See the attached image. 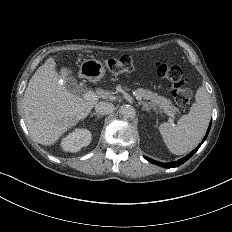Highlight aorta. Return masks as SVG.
Masks as SVG:
<instances>
[{
    "label": "aorta",
    "instance_id": "1",
    "mask_svg": "<svg viewBox=\"0 0 232 232\" xmlns=\"http://www.w3.org/2000/svg\"><path fill=\"white\" fill-rule=\"evenodd\" d=\"M120 111L124 119H134L136 116V111L131 105L121 106Z\"/></svg>",
    "mask_w": 232,
    "mask_h": 232
}]
</instances>
